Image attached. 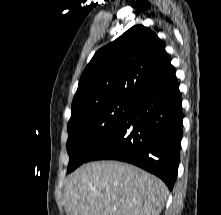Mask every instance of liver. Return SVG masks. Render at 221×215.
I'll use <instances>...</instances> for the list:
<instances>
[{
	"instance_id": "obj_1",
	"label": "liver",
	"mask_w": 221,
	"mask_h": 215,
	"mask_svg": "<svg viewBox=\"0 0 221 215\" xmlns=\"http://www.w3.org/2000/svg\"><path fill=\"white\" fill-rule=\"evenodd\" d=\"M168 188L156 176L116 161L87 163L68 176L67 215H159Z\"/></svg>"
}]
</instances>
